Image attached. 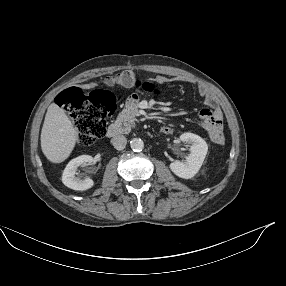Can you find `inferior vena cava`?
Here are the masks:
<instances>
[{"mask_svg":"<svg viewBox=\"0 0 286 286\" xmlns=\"http://www.w3.org/2000/svg\"><path fill=\"white\" fill-rule=\"evenodd\" d=\"M112 144L115 149L123 150L126 147L127 139L123 135H117L112 139Z\"/></svg>","mask_w":286,"mask_h":286,"instance_id":"602c4592","label":"inferior vena cava"}]
</instances>
